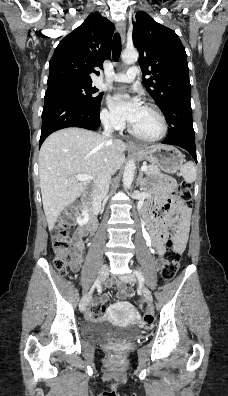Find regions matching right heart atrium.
Returning <instances> with one entry per match:
<instances>
[{
	"label": "right heart atrium",
	"mask_w": 228,
	"mask_h": 396,
	"mask_svg": "<svg viewBox=\"0 0 228 396\" xmlns=\"http://www.w3.org/2000/svg\"><path fill=\"white\" fill-rule=\"evenodd\" d=\"M101 121L102 123L109 129L112 130H119L122 128L123 123L122 121L117 118L110 110L104 108L101 111Z\"/></svg>",
	"instance_id": "d8ad5b80"
}]
</instances>
